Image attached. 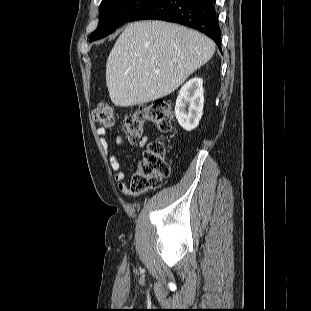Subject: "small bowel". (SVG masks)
<instances>
[{
  "label": "small bowel",
  "mask_w": 311,
  "mask_h": 311,
  "mask_svg": "<svg viewBox=\"0 0 311 311\" xmlns=\"http://www.w3.org/2000/svg\"><path fill=\"white\" fill-rule=\"evenodd\" d=\"M96 135L99 140V145L104 155L108 159L109 166L114 172V179L117 182L118 190L125 196L133 197L135 192L131 189L130 185L125 181V173L121 170V165L118 158L114 154L112 145L109 143L106 137V131L102 127H98L95 130ZM114 143L116 146H122L125 143V140L122 136L117 135L115 137ZM148 144V138L144 136L141 141L138 143L140 148H145Z\"/></svg>",
  "instance_id": "1"
}]
</instances>
